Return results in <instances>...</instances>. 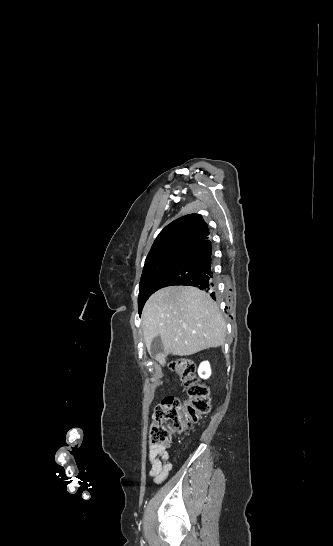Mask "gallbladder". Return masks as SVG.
<instances>
[{
	"label": "gallbladder",
	"mask_w": 333,
	"mask_h": 546,
	"mask_svg": "<svg viewBox=\"0 0 333 546\" xmlns=\"http://www.w3.org/2000/svg\"><path fill=\"white\" fill-rule=\"evenodd\" d=\"M152 356L156 357L158 354L163 353V344L160 336L153 339L150 348Z\"/></svg>",
	"instance_id": "bac80fb5"
}]
</instances>
